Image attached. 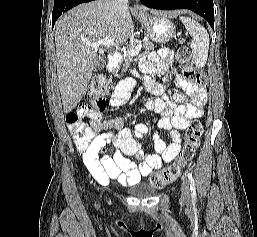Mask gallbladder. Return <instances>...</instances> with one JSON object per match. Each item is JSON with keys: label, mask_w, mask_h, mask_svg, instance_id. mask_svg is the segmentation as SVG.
I'll use <instances>...</instances> for the list:
<instances>
[{"label": "gallbladder", "mask_w": 257, "mask_h": 237, "mask_svg": "<svg viewBox=\"0 0 257 237\" xmlns=\"http://www.w3.org/2000/svg\"><path fill=\"white\" fill-rule=\"evenodd\" d=\"M104 65H105V59L103 57H100L95 67V71L101 70L104 67Z\"/></svg>", "instance_id": "bac80fb5"}]
</instances>
